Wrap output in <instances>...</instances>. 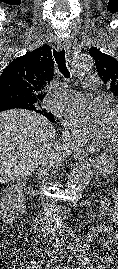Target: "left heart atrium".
<instances>
[{
  "instance_id": "left-heart-atrium-1",
  "label": "left heart atrium",
  "mask_w": 118,
  "mask_h": 269,
  "mask_svg": "<svg viewBox=\"0 0 118 269\" xmlns=\"http://www.w3.org/2000/svg\"><path fill=\"white\" fill-rule=\"evenodd\" d=\"M110 112L104 102H80L63 115L65 125L81 139L100 138L105 133Z\"/></svg>"
}]
</instances>
